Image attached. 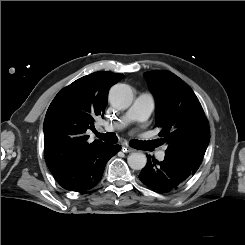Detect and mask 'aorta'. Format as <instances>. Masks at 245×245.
Segmentation results:
<instances>
[{
    "instance_id": "762f6f07",
    "label": "aorta",
    "mask_w": 245,
    "mask_h": 245,
    "mask_svg": "<svg viewBox=\"0 0 245 245\" xmlns=\"http://www.w3.org/2000/svg\"><path fill=\"white\" fill-rule=\"evenodd\" d=\"M110 105L117 110L128 109L133 102V91L129 85L116 84L108 95ZM128 165L134 170H141L145 167L147 158L141 152L131 153L127 158Z\"/></svg>"
}]
</instances>
